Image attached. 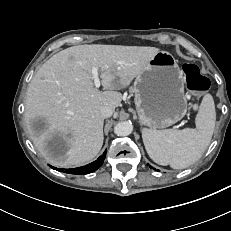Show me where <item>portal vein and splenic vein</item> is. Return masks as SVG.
<instances>
[{"label":"portal vein and splenic vein","mask_w":231,"mask_h":231,"mask_svg":"<svg viewBox=\"0 0 231 231\" xmlns=\"http://www.w3.org/2000/svg\"><path fill=\"white\" fill-rule=\"evenodd\" d=\"M92 79L94 81V85L96 88H99L100 85H101V81H100V78H99V75H98V69L97 68H92Z\"/></svg>","instance_id":"obj_1"}]
</instances>
